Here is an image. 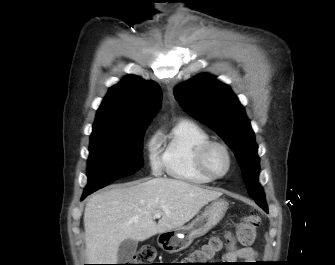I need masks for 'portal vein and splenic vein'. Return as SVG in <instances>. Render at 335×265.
<instances>
[{
    "instance_id": "portal-vein-and-splenic-vein-1",
    "label": "portal vein and splenic vein",
    "mask_w": 335,
    "mask_h": 265,
    "mask_svg": "<svg viewBox=\"0 0 335 265\" xmlns=\"http://www.w3.org/2000/svg\"><path fill=\"white\" fill-rule=\"evenodd\" d=\"M161 217V213L160 212H157L154 214V218H160Z\"/></svg>"
}]
</instances>
